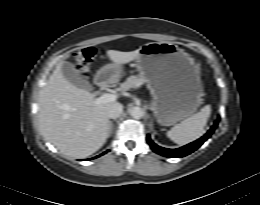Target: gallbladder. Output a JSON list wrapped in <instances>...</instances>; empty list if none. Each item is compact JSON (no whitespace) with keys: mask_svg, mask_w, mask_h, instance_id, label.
<instances>
[{"mask_svg":"<svg viewBox=\"0 0 260 205\" xmlns=\"http://www.w3.org/2000/svg\"><path fill=\"white\" fill-rule=\"evenodd\" d=\"M61 71L63 77L74 86L85 90H92L91 84L79 73L72 63L64 62Z\"/></svg>","mask_w":260,"mask_h":205,"instance_id":"bac80fb5","label":"gallbladder"}]
</instances>
